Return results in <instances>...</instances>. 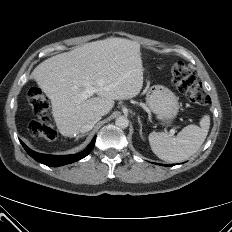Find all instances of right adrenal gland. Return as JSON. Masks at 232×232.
<instances>
[{"mask_svg": "<svg viewBox=\"0 0 232 232\" xmlns=\"http://www.w3.org/2000/svg\"><path fill=\"white\" fill-rule=\"evenodd\" d=\"M86 135H87V133H86V134L78 135V136H76L75 140H78L79 138L84 137V136H86Z\"/></svg>", "mask_w": 232, "mask_h": 232, "instance_id": "2a0ac1e0", "label": "right adrenal gland"}]
</instances>
